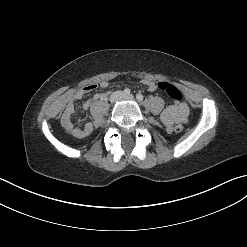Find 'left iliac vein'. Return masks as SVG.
<instances>
[{
  "mask_svg": "<svg viewBox=\"0 0 247 247\" xmlns=\"http://www.w3.org/2000/svg\"><path fill=\"white\" fill-rule=\"evenodd\" d=\"M124 98L129 99V100H133L134 99L133 95H131V94L130 95H125Z\"/></svg>",
  "mask_w": 247,
  "mask_h": 247,
  "instance_id": "left-iliac-vein-1",
  "label": "left iliac vein"
}]
</instances>
